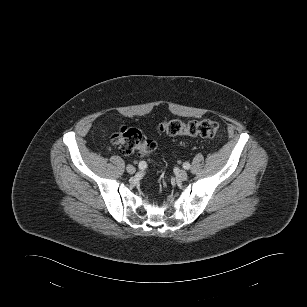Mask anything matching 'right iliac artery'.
<instances>
[{
    "label": "right iliac artery",
    "instance_id": "1",
    "mask_svg": "<svg viewBox=\"0 0 307 307\" xmlns=\"http://www.w3.org/2000/svg\"><path fill=\"white\" fill-rule=\"evenodd\" d=\"M147 164L145 161H141L138 165L140 170H144L146 168Z\"/></svg>",
    "mask_w": 307,
    "mask_h": 307
}]
</instances>
